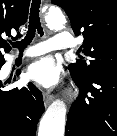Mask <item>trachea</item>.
Wrapping results in <instances>:
<instances>
[{
  "label": "trachea",
  "mask_w": 117,
  "mask_h": 136,
  "mask_svg": "<svg viewBox=\"0 0 117 136\" xmlns=\"http://www.w3.org/2000/svg\"><path fill=\"white\" fill-rule=\"evenodd\" d=\"M41 0H32L29 16V27L25 38L21 41L11 42L14 48H18L23 51L33 40L36 30L43 36L44 32L41 27L39 11H40Z\"/></svg>",
  "instance_id": "1"
}]
</instances>
